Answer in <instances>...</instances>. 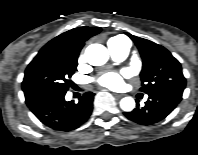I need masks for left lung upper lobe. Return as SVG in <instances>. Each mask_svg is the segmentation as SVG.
Returning a JSON list of instances; mask_svg holds the SVG:
<instances>
[{
	"mask_svg": "<svg viewBox=\"0 0 198 155\" xmlns=\"http://www.w3.org/2000/svg\"><path fill=\"white\" fill-rule=\"evenodd\" d=\"M135 42L143 59L142 88L146 94L176 92L182 94L186 79L180 63L164 47L127 33Z\"/></svg>",
	"mask_w": 198,
	"mask_h": 155,
	"instance_id": "obj_1",
	"label": "left lung upper lobe"
}]
</instances>
